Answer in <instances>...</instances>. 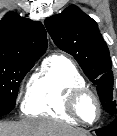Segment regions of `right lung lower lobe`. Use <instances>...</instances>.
Instances as JSON below:
<instances>
[{
	"instance_id": "obj_1",
	"label": "right lung lower lobe",
	"mask_w": 117,
	"mask_h": 136,
	"mask_svg": "<svg viewBox=\"0 0 117 136\" xmlns=\"http://www.w3.org/2000/svg\"><path fill=\"white\" fill-rule=\"evenodd\" d=\"M13 108L14 107H10V106H0V117L11 112Z\"/></svg>"
}]
</instances>
